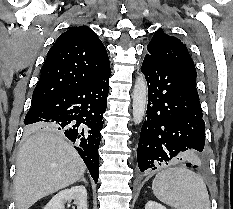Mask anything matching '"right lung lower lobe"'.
<instances>
[{
  "label": "right lung lower lobe",
  "instance_id": "98d812e1",
  "mask_svg": "<svg viewBox=\"0 0 233 209\" xmlns=\"http://www.w3.org/2000/svg\"><path fill=\"white\" fill-rule=\"evenodd\" d=\"M111 69L100 77L32 105L25 125L53 126L71 140L95 183L98 181L100 130L107 108Z\"/></svg>",
  "mask_w": 233,
  "mask_h": 209
}]
</instances>
